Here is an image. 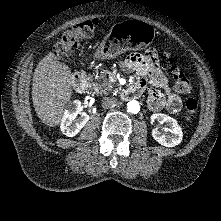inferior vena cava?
Here are the masks:
<instances>
[{
    "mask_svg": "<svg viewBox=\"0 0 221 221\" xmlns=\"http://www.w3.org/2000/svg\"><path fill=\"white\" fill-rule=\"evenodd\" d=\"M117 105V99L113 97H104L102 99V107L104 109L114 108Z\"/></svg>",
    "mask_w": 221,
    "mask_h": 221,
    "instance_id": "obj_1",
    "label": "inferior vena cava"
}]
</instances>
